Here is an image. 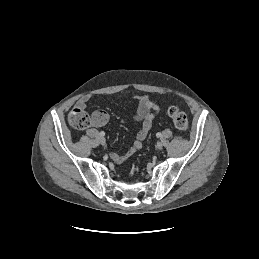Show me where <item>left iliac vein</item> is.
Segmentation results:
<instances>
[{"label":"left iliac vein","mask_w":259,"mask_h":259,"mask_svg":"<svg viewBox=\"0 0 259 259\" xmlns=\"http://www.w3.org/2000/svg\"><path fill=\"white\" fill-rule=\"evenodd\" d=\"M162 147H163L162 142H160V141H159V142H157V144H156V148L160 150V149H162Z\"/></svg>","instance_id":"left-iliac-vein-1"}]
</instances>
